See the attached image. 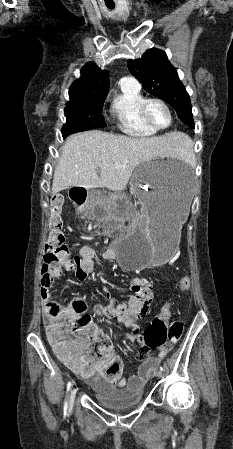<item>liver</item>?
Masks as SVG:
<instances>
[{
    "label": "liver",
    "instance_id": "1",
    "mask_svg": "<svg viewBox=\"0 0 233 449\" xmlns=\"http://www.w3.org/2000/svg\"><path fill=\"white\" fill-rule=\"evenodd\" d=\"M184 143L185 135L175 132L146 138L98 130L71 135L60 150L52 193L72 186L123 191L139 164L174 157Z\"/></svg>",
    "mask_w": 233,
    "mask_h": 449
}]
</instances>
